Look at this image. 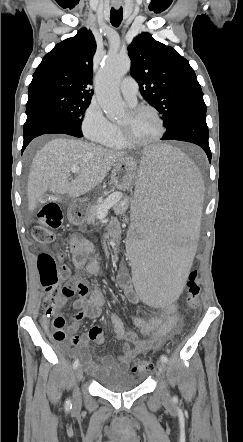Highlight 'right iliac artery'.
Here are the masks:
<instances>
[{
	"label": "right iliac artery",
	"mask_w": 243,
	"mask_h": 442,
	"mask_svg": "<svg viewBox=\"0 0 243 442\" xmlns=\"http://www.w3.org/2000/svg\"><path fill=\"white\" fill-rule=\"evenodd\" d=\"M78 365H79V360L77 359V360H75V362L73 364V368L76 369L78 367ZM71 408H72L71 400L67 399L65 402V409L69 410Z\"/></svg>",
	"instance_id": "82829eb1"
}]
</instances>
